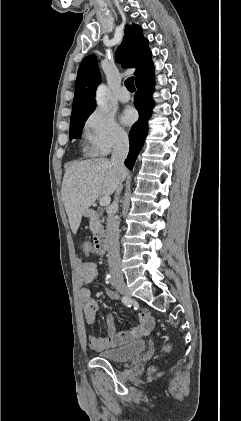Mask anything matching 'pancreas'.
Listing matches in <instances>:
<instances>
[{
  "instance_id": "cf45deb5",
  "label": "pancreas",
  "mask_w": 241,
  "mask_h": 421,
  "mask_svg": "<svg viewBox=\"0 0 241 421\" xmlns=\"http://www.w3.org/2000/svg\"><path fill=\"white\" fill-rule=\"evenodd\" d=\"M104 222V219H100L99 215H94L90 220V230L91 232L96 235L103 231L102 223Z\"/></svg>"
}]
</instances>
